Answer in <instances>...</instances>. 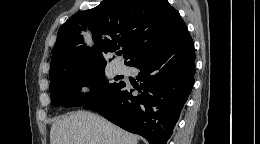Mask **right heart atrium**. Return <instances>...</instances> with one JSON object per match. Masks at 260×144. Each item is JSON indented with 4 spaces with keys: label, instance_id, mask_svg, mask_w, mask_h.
<instances>
[{
    "label": "right heart atrium",
    "instance_id": "obj_1",
    "mask_svg": "<svg viewBox=\"0 0 260 144\" xmlns=\"http://www.w3.org/2000/svg\"><path fill=\"white\" fill-rule=\"evenodd\" d=\"M87 89H88V86H82V87H81V91H82V92L86 91Z\"/></svg>",
    "mask_w": 260,
    "mask_h": 144
}]
</instances>
